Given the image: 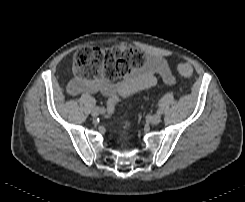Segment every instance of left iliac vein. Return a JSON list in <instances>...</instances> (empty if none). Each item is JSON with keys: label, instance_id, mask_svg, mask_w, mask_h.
Here are the masks:
<instances>
[{"label": "left iliac vein", "instance_id": "4c4485c4", "mask_svg": "<svg viewBox=\"0 0 245 202\" xmlns=\"http://www.w3.org/2000/svg\"><path fill=\"white\" fill-rule=\"evenodd\" d=\"M161 121V116L159 114H155L151 117L150 123L153 125H157Z\"/></svg>", "mask_w": 245, "mask_h": 202}]
</instances>
